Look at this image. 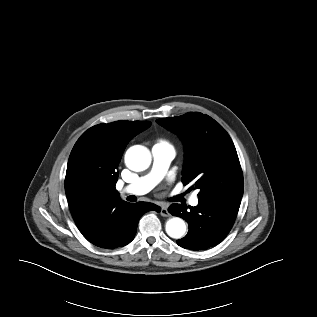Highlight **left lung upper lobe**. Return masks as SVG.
Here are the masks:
<instances>
[{
  "instance_id": "obj_1",
  "label": "left lung upper lobe",
  "mask_w": 317,
  "mask_h": 317,
  "mask_svg": "<svg viewBox=\"0 0 317 317\" xmlns=\"http://www.w3.org/2000/svg\"><path fill=\"white\" fill-rule=\"evenodd\" d=\"M157 123L176 133L184 144L182 182L194 184L202 197H242L243 174L235 146L224 128L208 115L190 112Z\"/></svg>"
}]
</instances>
